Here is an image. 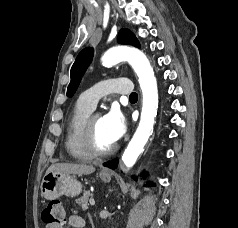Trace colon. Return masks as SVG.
<instances>
[{
    "mask_svg": "<svg viewBox=\"0 0 238 228\" xmlns=\"http://www.w3.org/2000/svg\"><path fill=\"white\" fill-rule=\"evenodd\" d=\"M42 221L45 225L63 224L65 211L59 200L51 201L42 211Z\"/></svg>",
    "mask_w": 238,
    "mask_h": 228,
    "instance_id": "obj_1",
    "label": "colon"
}]
</instances>
